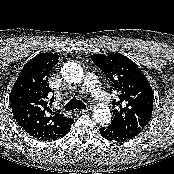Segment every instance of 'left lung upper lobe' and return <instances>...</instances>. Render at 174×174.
I'll return each mask as SVG.
<instances>
[{"mask_svg": "<svg viewBox=\"0 0 174 174\" xmlns=\"http://www.w3.org/2000/svg\"><path fill=\"white\" fill-rule=\"evenodd\" d=\"M92 61L108 77L117 97L110 125L139 134L153 111V91L143 72L126 56L93 54Z\"/></svg>", "mask_w": 174, "mask_h": 174, "instance_id": "left-lung-upper-lobe-1", "label": "left lung upper lobe"}]
</instances>
